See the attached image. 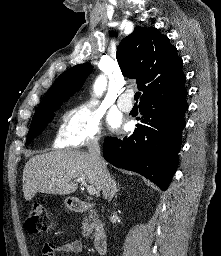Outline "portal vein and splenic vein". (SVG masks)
<instances>
[{
	"label": "portal vein and splenic vein",
	"instance_id": "obj_1",
	"mask_svg": "<svg viewBox=\"0 0 221 256\" xmlns=\"http://www.w3.org/2000/svg\"><path fill=\"white\" fill-rule=\"evenodd\" d=\"M74 181H75V182H79V183H81L83 186H85L86 189H87V191H88V193H89L90 195L96 194V188H95L94 186L88 185V184L85 182V179L79 178V179H76V180H74Z\"/></svg>",
	"mask_w": 221,
	"mask_h": 256
}]
</instances>
